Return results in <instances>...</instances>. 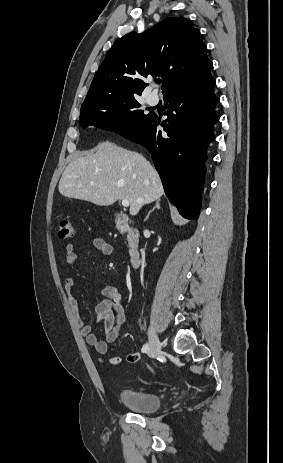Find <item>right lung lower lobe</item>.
I'll return each instance as SVG.
<instances>
[{
	"mask_svg": "<svg viewBox=\"0 0 283 463\" xmlns=\"http://www.w3.org/2000/svg\"><path fill=\"white\" fill-rule=\"evenodd\" d=\"M215 83L209 76L167 92L163 97L165 121L160 123L157 115L151 114L137 131L123 135L148 149L166 196L190 220L198 219L206 149L214 139L213 126L219 119L215 114L219 102L214 94Z\"/></svg>",
	"mask_w": 283,
	"mask_h": 463,
	"instance_id": "obj_1",
	"label": "right lung lower lobe"
}]
</instances>
